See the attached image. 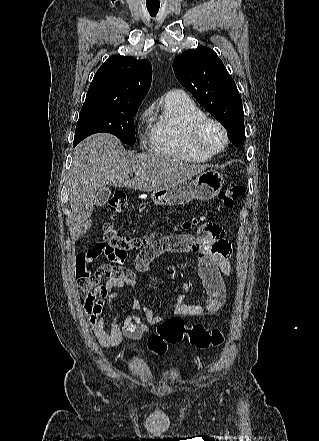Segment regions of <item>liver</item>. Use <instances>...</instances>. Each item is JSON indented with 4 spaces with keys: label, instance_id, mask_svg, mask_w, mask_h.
<instances>
[{
    "label": "liver",
    "instance_id": "1",
    "mask_svg": "<svg viewBox=\"0 0 319 441\" xmlns=\"http://www.w3.org/2000/svg\"><path fill=\"white\" fill-rule=\"evenodd\" d=\"M206 168L207 165L189 164L162 155L129 153L121 141L110 134L89 136L75 147L69 173L72 239L77 240L91 228L90 217L101 187L152 192L175 186ZM136 171L139 175L130 179L129 174Z\"/></svg>",
    "mask_w": 319,
    "mask_h": 441
}]
</instances>
